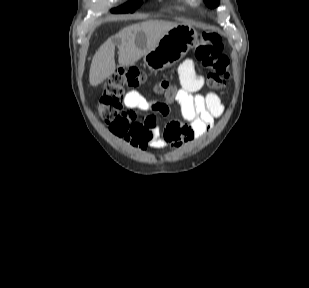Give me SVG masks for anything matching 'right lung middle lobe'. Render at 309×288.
Returning <instances> with one entry per match:
<instances>
[{"mask_svg": "<svg viewBox=\"0 0 309 288\" xmlns=\"http://www.w3.org/2000/svg\"><path fill=\"white\" fill-rule=\"evenodd\" d=\"M141 1L140 0H133L130 2H127L126 4L113 9L112 12L113 13H133L140 5H141Z\"/></svg>", "mask_w": 309, "mask_h": 288, "instance_id": "1", "label": "right lung middle lobe"}]
</instances>
